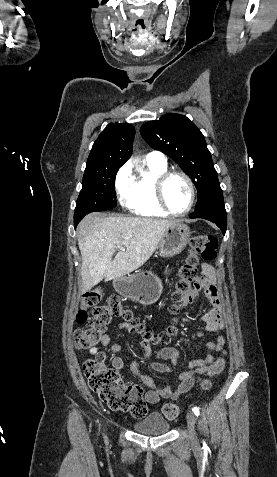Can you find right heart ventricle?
Wrapping results in <instances>:
<instances>
[{"mask_svg":"<svg viewBox=\"0 0 277 477\" xmlns=\"http://www.w3.org/2000/svg\"><path fill=\"white\" fill-rule=\"evenodd\" d=\"M146 170L132 180L131 191L126 207L135 215L151 218H165L166 213L155 196L156 178L167 170L166 164L145 161Z\"/></svg>","mask_w":277,"mask_h":477,"instance_id":"1","label":"right heart ventricle"}]
</instances>
